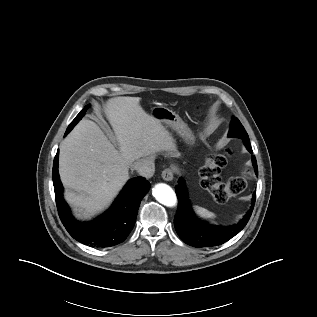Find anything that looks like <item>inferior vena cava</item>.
<instances>
[{
    "label": "inferior vena cava",
    "mask_w": 317,
    "mask_h": 317,
    "mask_svg": "<svg viewBox=\"0 0 317 317\" xmlns=\"http://www.w3.org/2000/svg\"><path fill=\"white\" fill-rule=\"evenodd\" d=\"M132 168L145 178H151L155 171V165L152 159L138 160L133 163Z\"/></svg>",
    "instance_id": "602c4592"
}]
</instances>
